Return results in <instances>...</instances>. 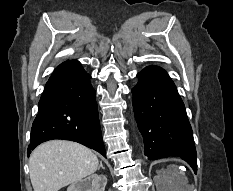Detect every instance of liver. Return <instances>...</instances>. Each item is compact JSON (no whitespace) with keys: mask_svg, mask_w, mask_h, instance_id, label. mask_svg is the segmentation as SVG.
I'll list each match as a JSON object with an SVG mask.
<instances>
[{"mask_svg":"<svg viewBox=\"0 0 233 191\" xmlns=\"http://www.w3.org/2000/svg\"><path fill=\"white\" fill-rule=\"evenodd\" d=\"M97 156L87 147L72 141L51 140L39 145L29 159L34 191H58L93 174Z\"/></svg>","mask_w":233,"mask_h":191,"instance_id":"1","label":"liver"}]
</instances>
